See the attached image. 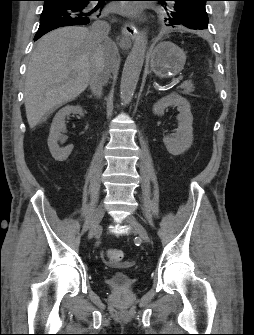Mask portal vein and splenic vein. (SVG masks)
I'll list each match as a JSON object with an SVG mask.
<instances>
[{"mask_svg": "<svg viewBox=\"0 0 254 335\" xmlns=\"http://www.w3.org/2000/svg\"><path fill=\"white\" fill-rule=\"evenodd\" d=\"M181 80H182V78H180V77L175 78V79H173V83L178 84V83L181 82Z\"/></svg>", "mask_w": 254, "mask_h": 335, "instance_id": "portal-vein-and-splenic-vein-1", "label": "portal vein and splenic vein"}]
</instances>
